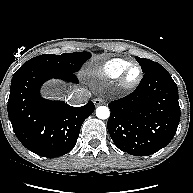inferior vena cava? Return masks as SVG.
<instances>
[{"label": "inferior vena cava", "instance_id": "inferior-vena-cava-1", "mask_svg": "<svg viewBox=\"0 0 193 193\" xmlns=\"http://www.w3.org/2000/svg\"><path fill=\"white\" fill-rule=\"evenodd\" d=\"M90 96L91 94L89 91L85 89H76L70 94L68 100L71 105H82L88 101Z\"/></svg>", "mask_w": 193, "mask_h": 193}]
</instances>
